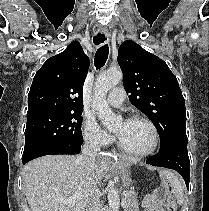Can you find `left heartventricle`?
I'll use <instances>...</instances> for the list:
<instances>
[{
    "mask_svg": "<svg viewBox=\"0 0 209 211\" xmlns=\"http://www.w3.org/2000/svg\"><path fill=\"white\" fill-rule=\"evenodd\" d=\"M115 132L120 143L128 150L140 152L148 149L152 143V133L149 127L138 121H129L126 125L119 123Z\"/></svg>",
    "mask_w": 209,
    "mask_h": 211,
    "instance_id": "1",
    "label": "left heart ventricle"
}]
</instances>
